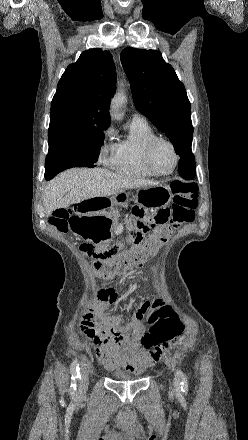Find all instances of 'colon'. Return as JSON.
<instances>
[{
    "instance_id": "1",
    "label": "colon",
    "mask_w": 248,
    "mask_h": 440,
    "mask_svg": "<svg viewBox=\"0 0 248 440\" xmlns=\"http://www.w3.org/2000/svg\"><path fill=\"white\" fill-rule=\"evenodd\" d=\"M171 189L175 195L171 208L160 209L154 213H150L144 205L136 206L133 209L129 222L131 224L130 240L136 246L134 252L121 254L118 245L107 249L81 246V251L84 254L96 259L94 268L100 278L107 280L131 266L141 265L169 239L177 225L193 218L197 204L196 186L177 180L172 182ZM70 218L76 217H72L68 210L59 209L51 217L50 224L59 231L67 232L70 229ZM112 295V289L100 291L102 299H110ZM157 302L158 300L155 301L156 304ZM149 322L151 326L143 337V344L147 349L157 346L151 353L152 359L157 361L164 357L165 351L171 347L170 341L181 333L182 327L167 306H161L153 311Z\"/></svg>"
}]
</instances>
